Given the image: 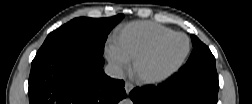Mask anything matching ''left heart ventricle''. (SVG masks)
<instances>
[{
	"label": "left heart ventricle",
	"mask_w": 252,
	"mask_h": 104,
	"mask_svg": "<svg viewBox=\"0 0 252 104\" xmlns=\"http://www.w3.org/2000/svg\"><path fill=\"white\" fill-rule=\"evenodd\" d=\"M187 41L183 36H176L169 40L157 53L151 55L141 62L139 70L141 73H152L165 65L174 63L185 52Z\"/></svg>",
	"instance_id": "1"
}]
</instances>
